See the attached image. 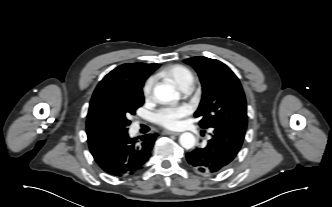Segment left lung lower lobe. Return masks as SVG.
<instances>
[{"instance_id": "obj_1", "label": "left lung lower lobe", "mask_w": 332, "mask_h": 207, "mask_svg": "<svg viewBox=\"0 0 332 207\" xmlns=\"http://www.w3.org/2000/svg\"><path fill=\"white\" fill-rule=\"evenodd\" d=\"M212 138L203 148L187 153V162L196 171L213 175L226 169L238 154L245 130L234 127H212Z\"/></svg>"}]
</instances>
